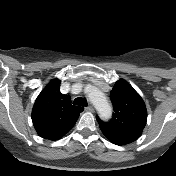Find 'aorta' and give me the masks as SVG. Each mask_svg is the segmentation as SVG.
Masks as SVG:
<instances>
[{
    "instance_id": "762f6f07",
    "label": "aorta",
    "mask_w": 176,
    "mask_h": 176,
    "mask_svg": "<svg viewBox=\"0 0 176 176\" xmlns=\"http://www.w3.org/2000/svg\"><path fill=\"white\" fill-rule=\"evenodd\" d=\"M89 99L98 111L100 117L108 119L111 117L112 108L105 94L98 88H92L89 92Z\"/></svg>"
}]
</instances>
